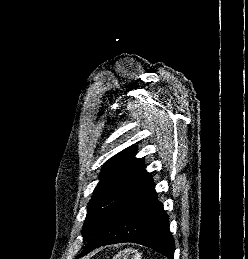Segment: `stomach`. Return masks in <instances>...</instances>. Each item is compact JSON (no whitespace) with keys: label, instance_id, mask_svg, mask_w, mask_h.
<instances>
[{"label":"stomach","instance_id":"obj_1","mask_svg":"<svg viewBox=\"0 0 248 259\" xmlns=\"http://www.w3.org/2000/svg\"><path fill=\"white\" fill-rule=\"evenodd\" d=\"M113 259H141V254L132 248L120 251Z\"/></svg>","mask_w":248,"mask_h":259}]
</instances>
